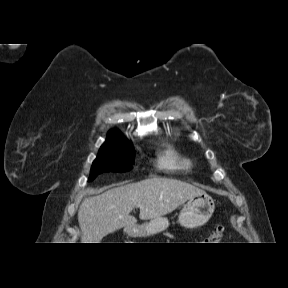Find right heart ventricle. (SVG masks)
I'll list each match as a JSON object with an SVG mask.
<instances>
[{
  "label": "right heart ventricle",
  "mask_w": 288,
  "mask_h": 288,
  "mask_svg": "<svg viewBox=\"0 0 288 288\" xmlns=\"http://www.w3.org/2000/svg\"><path fill=\"white\" fill-rule=\"evenodd\" d=\"M160 164L165 168L170 169H189L191 167V163L188 159H185L178 155L174 150H167L160 158Z\"/></svg>",
  "instance_id": "e07e8e85"
}]
</instances>
